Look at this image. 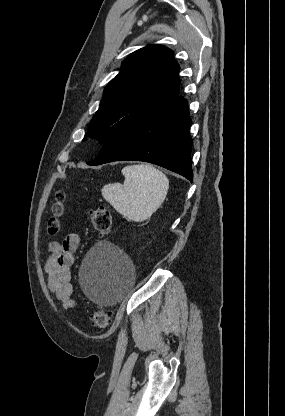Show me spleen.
<instances>
[{"label": "spleen", "instance_id": "3e777b00", "mask_svg": "<svg viewBox=\"0 0 285 416\" xmlns=\"http://www.w3.org/2000/svg\"><path fill=\"white\" fill-rule=\"evenodd\" d=\"M122 174L124 184H107L102 188L104 200L132 222L148 220L167 196V176L150 164L126 166Z\"/></svg>", "mask_w": 285, "mask_h": 416}]
</instances>
